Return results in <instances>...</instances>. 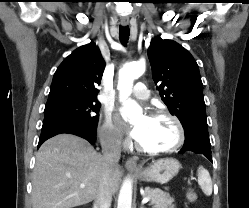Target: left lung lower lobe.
<instances>
[{
    "label": "left lung lower lobe",
    "instance_id": "0a47b994",
    "mask_svg": "<svg viewBox=\"0 0 249 208\" xmlns=\"http://www.w3.org/2000/svg\"><path fill=\"white\" fill-rule=\"evenodd\" d=\"M185 151L203 154L212 162L211 144L208 131L203 129H194L190 133L186 134L184 145L179 152L183 153Z\"/></svg>",
    "mask_w": 249,
    "mask_h": 208
}]
</instances>
